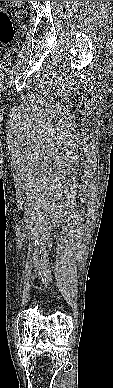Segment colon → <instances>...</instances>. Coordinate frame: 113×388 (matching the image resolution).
<instances>
[{"instance_id":"colon-1","label":"colon","mask_w":113,"mask_h":388,"mask_svg":"<svg viewBox=\"0 0 113 388\" xmlns=\"http://www.w3.org/2000/svg\"><path fill=\"white\" fill-rule=\"evenodd\" d=\"M14 37V28L11 15L8 11L0 9V51L9 44Z\"/></svg>"}]
</instances>
